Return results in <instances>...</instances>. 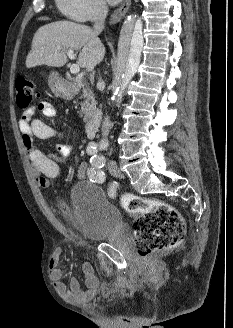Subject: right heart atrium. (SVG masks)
<instances>
[{
  "mask_svg": "<svg viewBox=\"0 0 233 328\" xmlns=\"http://www.w3.org/2000/svg\"><path fill=\"white\" fill-rule=\"evenodd\" d=\"M56 3L66 17L78 22L99 19L107 10L104 0H56Z\"/></svg>",
  "mask_w": 233,
  "mask_h": 328,
  "instance_id": "right-heart-atrium-1",
  "label": "right heart atrium"
}]
</instances>
